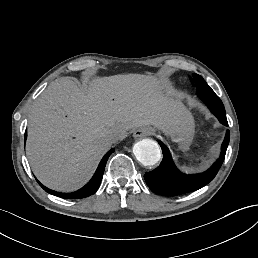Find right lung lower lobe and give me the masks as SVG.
I'll list each match as a JSON object with an SVG mask.
<instances>
[{"label":"right lung lower lobe","mask_w":258,"mask_h":258,"mask_svg":"<svg viewBox=\"0 0 258 258\" xmlns=\"http://www.w3.org/2000/svg\"><path fill=\"white\" fill-rule=\"evenodd\" d=\"M27 133H25V141H26ZM114 152V149H110L102 158L95 174L93 175L92 179L81 189L72 192V193H61V192H56L51 189H48L47 187L43 186L40 182H38L41 187L48 193L65 198V199H80V198H85L90 195H93L99 188L102 176L104 173V169L107 163V160L109 156Z\"/></svg>","instance_id":"obj_1"}]
</instances>
